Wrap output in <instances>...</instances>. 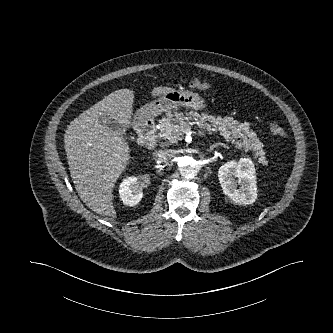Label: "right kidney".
Instances as JSON below:
<instances>
[{
	"mask_svg": "<svg viewBox=\"0 0 333 333\" xmlns=\"http://www.w3.org/2000/svg\"><path fill=\"white\" fill-rule=\"evenodd\" d=\"M119 195L125 205L138 204L143 197L142 187L138 183V179L134 176L125 179L120 185Z\"/></svg>",
	"mask_w": 333,
	"mask_h": 333,
	"instance_id": "ca27d5eb",
	"label": "right kidney"
}]
</instances>
